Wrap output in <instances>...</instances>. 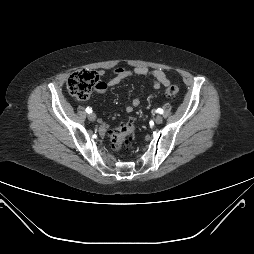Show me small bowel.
<instances>
[{"label":"small bowel","instance_id":"1","mask_svg":"<svg viewBox=\"0 0 254 254\" xmlns=\"http://www.w3.org/2000/svg\"><path fill=\"white\" fill-rule=\"evenodd\" d=\"M100 76L104 75V71H99L98 73ZM136 75V76H152L154 78L153 88L155 90L160 89L161 87H167L170 85V79L167 74L159 69L150 70L146 67H135L132 70L124 69V68H117L113 70L112 77L109 79L108 82L100 81V85L95 89L97 94H103L108 88L118 85L125 79ZM141 101L139 98H134L132 100V105L126 107V112L130 113L133 111V107L140 106ZM100 131L103 135L108 133V127L103 124L100 127Z\"/></svg>","mask_w":254,"mask_h":254}]
</instances>
